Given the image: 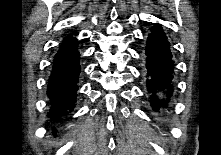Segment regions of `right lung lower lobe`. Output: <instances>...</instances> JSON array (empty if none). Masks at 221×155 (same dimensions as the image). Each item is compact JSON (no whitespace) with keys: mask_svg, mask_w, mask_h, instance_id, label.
I'll list each match as a JSON object with an SVG mask.
<instances>
[{"mask_svg":"<svg viewBox=\"0 0 221 155\" xmlns=\"http://www.w3.org/2000/svg\"><path fill=\"white\" fill-rule=\"evenodd\" d=\"M76 38L66 37L54 57V64L48 81L47 94L51 100L48 117L59 121L72 110L78 90V76L81 70ZM57 132L56 128H53Z\"/></svg>","mask_w":221,"mask_h":155,"instance_id":"obj_1","label":"right lung lower lobe"}]
</instances>
